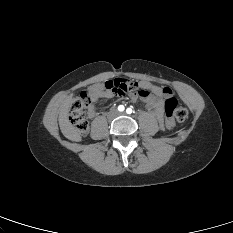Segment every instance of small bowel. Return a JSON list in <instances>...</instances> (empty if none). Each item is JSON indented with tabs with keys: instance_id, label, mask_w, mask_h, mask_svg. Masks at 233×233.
I'll return each instance as SVG.
<instances>
[{
	"instance_id": "1",
	"label": "small bowel",
	"mask_w": 233,
	"mask_h": 233,
	"mask_svg": "<svg viewBox=\"0 0 233 233\" xmlns=\"http://www.w3.org/2000/svg\"><path fill=\"white\" fill-rule=\"evenodd\" d=\"M137 88L130 91L129 97L133 102L144 103L158 122H162L164 112V99L172 96V90L169 87H162L155 83L147 81H136ZM88 95L90 104L88 107V116L93 118L97 115V103L100 98H112L115 93L106 89L104 83H97L90 86Z\"/></svg>"
}]
</instances>
